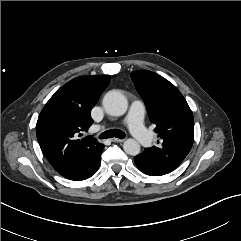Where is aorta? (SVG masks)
Segmentation results:
<instances>
[{
	"label": "aorta",
	"instance_id": "1",
	"mask_svg": "<svg viewBox=\"0 0 241 241\" xmlns=\"http://www.w3.org/2000/svg\"><path fill=\"white\" fill-rule=\"evenodd\" d=\"M103 107L109 115L122 116L127 111L128 103L122 93L112 90L105 94ZM123 149L127 154L136 156L140 153V144L136 140L129 138L125 140Z\"/></svg>",
	"mask_w": 241,
	"mask_h": 241
}]
</instances>
